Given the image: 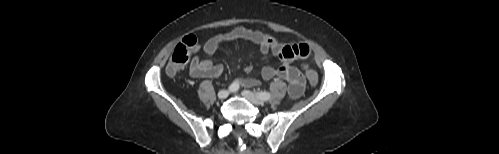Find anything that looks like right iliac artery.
Instances as JSON below:
<instances>
[{
    "label": "right iliac artery",
    "mask_w": 499,
    "mask_h": 154,
    "mask_svg": "<svg viewBox=\"0 0 499 154\" xmlns=\"http://www.w3.org/2000/svg\"><path fill=\"white\" fill-rule=\"evenodd\" d=\"M239 89V84L238 82L234 81L230 86H229V90L231 92H236L237 90Z\"/></svg>",
    "instance_id": "82829eb1"
}]
</instances>
